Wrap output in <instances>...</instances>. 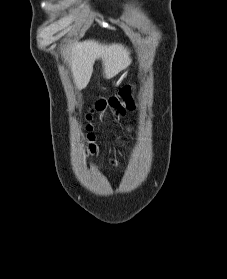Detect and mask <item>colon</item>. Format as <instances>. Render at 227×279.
I'll return each instance as SVG.
<instances>
[{
    "label": "colon",
    "instance_id": "colon-1",
    "mask_svg": "<svg viewBox=\"0 0 227 279\" xmlns=\"http://www.w3.org/2000/svg\"><path fill=\"white\" fill-rule=\"evenodd\" d=\"M107 105H110L113 108H116V113L117 115H121L125 113L126 109L125 108H120L119 103L115 98H112L109 102H106L104 100H99L95 103L94 107L92 108V111H98V112H103L104 109L107 107ZM133 109V104L130 102L127 105V110H132ZM85 132L87 133V138H88V147L87 150L91 153H94L96 150V145H95V134H94V126L92 124V115L89 114L87 116V124L85 126Z\"/></svg>",
    "mask_w": 227,
    "mask_h": 279
}]
</instances>
